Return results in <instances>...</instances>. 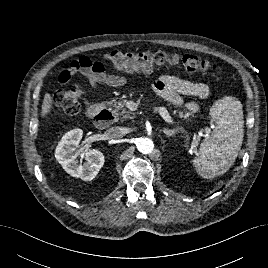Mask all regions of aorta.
Here are the masks:
<instances>
[{"instance_id":"762f6f07","label":"aorta","mask_w":268,"mask_h":268,"mask_svg":"<svg viewBox=\"0 0 268 268\" xmlns=\"http://www.w3.org/2000/svg\"><path fill=\"white\" fill-rule=\"evenodd\" d=\"M136 146L142 154H149L153 151L154 143L150 138L140 137L136 140Z\"/></svg>"}]
</instances>
